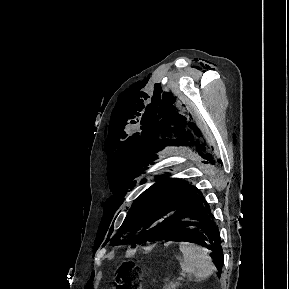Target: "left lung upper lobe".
Wrapping results in <instances>:
<instances>
[{
  "label": "left lung upper lobe",
  "instance_id": "1",
  "mask_svg": "<svg viewBox=\"0 0 289 289\" xmlns=\"http://www.w3.org/2000/svg\"><path fill=\"white\" fill-rule=\"evenodd\" d=\"M159 182L144 191L132 204L123 224L112 237L111 245L141 244L155 241L160 235L166 218L169 216L168 205L176 194L190 187L181 180L158 178Z\"/></svg>",
  "mask_w": 289,
  "mask_h": 289
}]
</instances>
